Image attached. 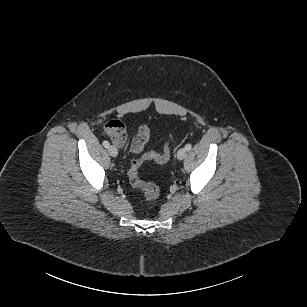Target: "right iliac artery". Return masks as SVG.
<instances>
[{"instance_id": "obj_1", "label": "right iliac artery", "mask_w": 307, "mask_h": 307, "mask_svg": "<svg viewBox=\"0 0 307 307\" xmlns=\"http://www.w3.org/2000/svg\"><path fill=\"white\" fill-rule=\"evenodd\" d=\"M109 142L108 141H103V146L105 147V148H108L109 147Z\"/></svg>"}]
</instances>
